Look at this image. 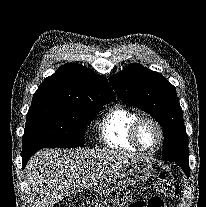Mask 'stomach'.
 Segmentation results:
<instances>
[{"instance_id": "stomach-1", "label": "stomach", "mask_w": 206, "mask_h": 207, "mask_svg": "<svg viewBox=\"0 0 206 207\" xmlns=\"http://www.w3.org/2000/svg\"><path fill=\"white\" fill-rule=\"evenodd\" d=\"M151 162L138 158L100 181L97 187L99 195H109L126 186L145 182L152 174Z\"/></svg>"}]
</instances>
